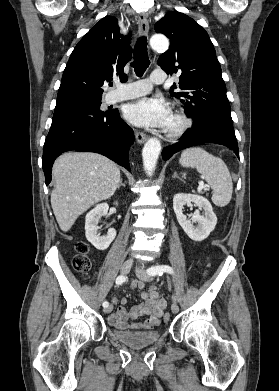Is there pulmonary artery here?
<instances>
[{
	"label": "pulmonary artery",
	"mask_w": 279,
	"mask_h": 391,
	"mask_svg": "<svg viewBox=\"0 0 279 391\" xmlns=\"http://www.w3.org/2000/svg\"><path fill=\"white\" fill-rule=\"evenodd\" d=\"M165 82L163 71H154L148 79L119 85V87L109 93L106 98L108 103H116L123 100L133 99L147 94L152 89V84H161Z\"/></svg>",
	"instance_id": "1"
}]
</instances>
